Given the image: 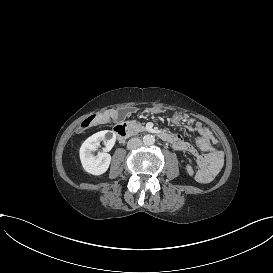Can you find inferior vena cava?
<instances>
[{"label":"inferior vena cava","instance_id":"obj_1","mask_svg":"<svg viewBox=\"0 0 273 273\" xmlns=\"http://www.w3.org/2000/svg\"><path fill=\"white\" fill-rule=\"evenodd\" d=\"M141 144H142V141L139 138L133 137V138H130L129 141L127 142V148L135 149L141 146Z\"/></svg>","mask_w":273,"mask_h":273}]
</instances>
